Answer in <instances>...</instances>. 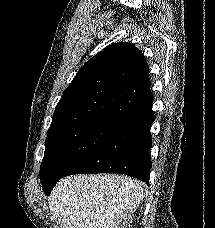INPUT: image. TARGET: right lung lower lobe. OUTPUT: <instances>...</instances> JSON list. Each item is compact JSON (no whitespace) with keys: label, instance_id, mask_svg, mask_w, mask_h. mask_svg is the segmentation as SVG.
<instances>
[{"label":"right lung lower lobe","instance_id":"right-lung-lower-lobe-1","mask_svg":"<svg viewBox=\"0 0 215 228\" xmlns=\"http://www.w3.org/2000/svg\"><path fill=\"white\" fill-rule=\"evenodd\" d=\"M155 115L127 123L73 166L64 176L73 174L122 173L149 184L152 138Z\"/></svg>","mask_w":215,"mask_h":228}]
</instances>
